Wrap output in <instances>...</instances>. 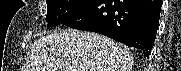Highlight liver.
I'll use <instances>...</instances> for the list:
<instances>
[{"instance_id": "6515ba94", "label": "liver", "mask_w": 181, "mask_h": 71, "mask_svg": "<svg viewBox=\"0 0 181 71\" xmlns=\"http://www.w3.org/2000/svg\"><path fill=\"white\" fill-rule=\"evenodd\" d=\"M27 71H131L133 58L120 44L93 32L58 30L36 40Z\"/></svg>"}]
</instances>
